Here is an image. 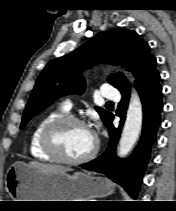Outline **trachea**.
<instances>
[{"label":"trachea","mask_w":176,"mask_h":211,"mask_svg":"<svg viewBox=\"0 0 176 211\" xmlns=\"http://www.w3.org/2000/svg\"><path fill=\"white\" fill-rule=\"evenodd\" d=\"M107 104H113V102H110V101H109V102H107Z\"/></svg>","instance_id":"trachea-1"}]
</instances>
